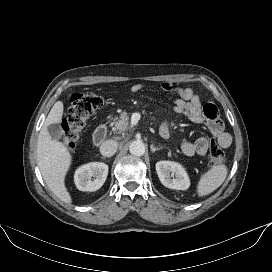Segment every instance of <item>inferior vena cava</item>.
Returning a JSON list of instances; mask_svg holds the SVG:
<instances>
[{"instance_id": "inferior-vena-cava-1", "label": "inferior vena cava", "mask_w": 272, "mask_h": 272, "mask_svg": "<svg viewBox=\"0 0 272 272\" xmlns=\"http://www.w3.org/2000/svg\"><path fill=\"white\" fill-rule=\"evenodd\" d=\"M118 148V144L114 140H106L100 146V153L104 157H111L113 156Z\"/></svg>"}]
</instances>
